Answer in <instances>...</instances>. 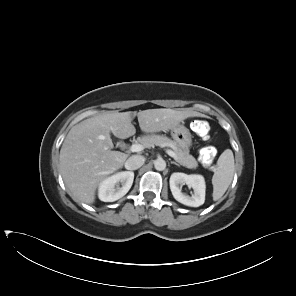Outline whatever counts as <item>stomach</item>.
Segmentation results:
<instances>
[{
	"instance_id": "1",
	"label": "stomach",
	"mask_w": 296,
	"mask_h": 296,
	"mask_svg": "<svg viewBox=\"0 0 296 296\" xmlns=\"http://www.w3.org/2000/svg\"><path fill=\"white\" fill-rule=\"evenodd\" d=\"M171 136L181 149H189V147L191 146V143H192L191 133L185 126L178 125L172 128Z\"/></svg>"
}]
</instances>
